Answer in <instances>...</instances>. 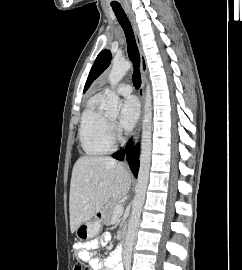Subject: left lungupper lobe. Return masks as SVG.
I'll list each match as a JSON object with an SVG mask.
<instances>
[{"instance_id":"5c2ea615","label":"left lung upper lobe","mask_w":242,"mask_h":270,"mask_svg":"<svg viewBox=\"0 0 242 270\" xmlns=\"http://www.w3.org/2000/svg\"><path fill=\"white\" fill-rule=\"evenodd\" d=\"M111 61V52L103 50L97 56L86 81L84 92L89 88L90 84L109 66Z\"/></svg>"}]
</instances>
